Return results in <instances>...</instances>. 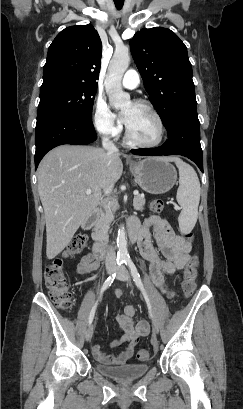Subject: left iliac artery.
<instances>
[{"instance_id":"left-iliac-artery-1","label":"left iliac artery","mask_w":243,"mask_h":409,"mask_svg":"<svg viewBox=\"0 0 243 409\" xmlns=\"http://www.w3.org/2000/svg\"><path fill=\"white\" fill-rule=\"evenodd\" d=\"M124 263L130 269L131 274L133 276V279H134L136 285L139 287V289L141 290V292H142V294H143V296L145 298V301L147 303V307H148V310H149V314L153 318L152 307H151V304H150V300H149L147 292H146V290H145V288L143 286V283L141 281V278H140V275H139V273L137 271L136 266L134 265L133 261L130 258H125Z\"/></svg>"}]
</instances>
